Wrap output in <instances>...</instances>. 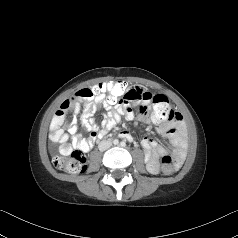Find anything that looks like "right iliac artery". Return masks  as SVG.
<instances>
[{
	"label": "right iliac artery",
	"mask_w": 238,
	"mask_h": 238,
	"mask_svg": "<svg viewBox=\"0 0 238 238\" xmlns=\"http://www.w3.org/2000/svg\"><path fill=\"white\" fill-rule=\"evenodd\" d=\"M113 143H114L115 145H117V144L119 143V141H118L117 139H115V140L113 141Z\"/></svg>",
	"instance_id": "1"
}]
</instances>
